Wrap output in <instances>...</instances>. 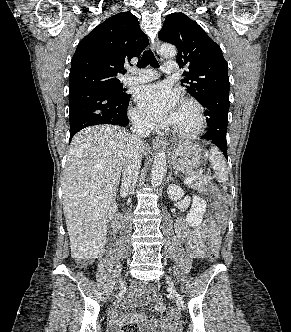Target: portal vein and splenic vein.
<instances>
[{
	"label": "portal vein and splenic vein",
	"instance_id": "18ae733b",
	"mask_svg": "<svg viewBox=\"0 0 291 332\" xmlns=\"http://www.w3.org/2000/svg\"><path fill=\"white\" fill-rule=\"evenodd\" d=\"M197 176H199V173L194 174V175L188 177V178L185 180V184H190V183H192V182L195 180V178H196Z\"/></svg>",
	"mask_w": 291,
	"mask_h": 332
}]
</instances>
